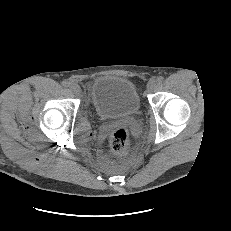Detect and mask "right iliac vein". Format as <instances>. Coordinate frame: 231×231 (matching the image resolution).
Listing matches in <instances>:
<instances>
[{"mask_svg":"<svg viewBox=\"0 0 231 231\" xmlns=\"http://www.w3.org/2000/svg\"><path fill=\"white\" fill-rule=\"evenodd\" d=\"M69 89L74 94H79L80 93V86L78 84H76V83H71L69 85Z\"/></svg>","mask_w":231,"mask_h":231,"instance_id":"right-iliac-vein-1","label":"right iliac vein"}]
</instances>
